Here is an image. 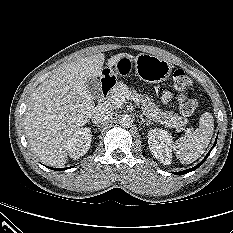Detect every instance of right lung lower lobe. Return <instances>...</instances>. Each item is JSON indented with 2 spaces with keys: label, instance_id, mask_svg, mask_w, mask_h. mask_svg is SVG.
Segmentation results:
<instances>
[{
  "label": "right lung lower lobe",
  "instance_id": "98d812e1",
  "mask_svg": "<svg viewBox=\"0 0 233 233\" xmlns=\"http://www.w3.org/2000/svg\"><path fill=\"white\" fill-rule=\"evenodd\" d=\"M50 168V167H49ZM70 168V167H69ZM66 168H54V170H65ZM68 169V168H67Z\"/></svg>",
  "mask_w": 233,
  "mask_h": 233
}]
</instances>
